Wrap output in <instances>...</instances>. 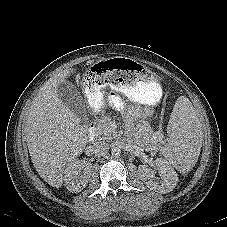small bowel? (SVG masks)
Returning a JSON list of instances; mask_svg holds the SVG:
<instances>
[{"label":"small bowel","mask_w":227,"mask_h":227,"mask_svg":"<svg viewBox=\"0 0 227 227\" xmlns=\"http://www.w3.org/2000/svg\"><path fill=\"white\" fill-rule=\"evenodd\" d=\"M119 103H120L119 98H117V97H111V98H110V104H111V105H117V104H119Z\"/></svg>","instance_id":"small-bowel-1"}]
</instances>
